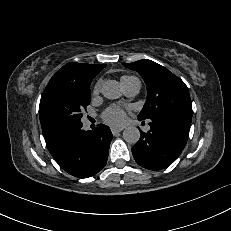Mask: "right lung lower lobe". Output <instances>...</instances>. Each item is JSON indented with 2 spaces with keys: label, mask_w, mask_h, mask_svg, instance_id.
Masks as SVG:
<instances>
[{
  "label": "right lung lower lobe",
  "mask_w": 231,
  "mask_h": 231,
  "mask_svg": "<svg viewBox=\"0 0 231 231\" xmlns=\"http://www.w3.org/2000/svg\"><path fill=\"white\" fill-rule=\"evenodd\" d=\"M112 137L106 125L84 131L79 123L55 132L46 144L62 169L75 177L88 178L104 168Z\"/></svg>",
  "instance_id": "1"
}]
</instances>
